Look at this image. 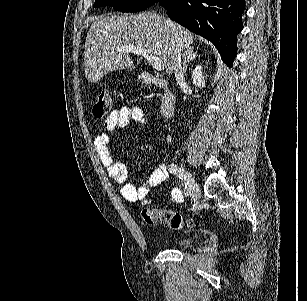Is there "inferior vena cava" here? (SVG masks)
I'll return each mask as SVG.
<instances>
[{"label": "inferior vena cava", "instance_id": "obj_1", "mask_svg": "<svg viewBox=\"0 0 307 301\" xmlns=\"http://www.w3.org/2000/svg\"><path fill=\"white\" fill-rule=\"evenodd\" d=\"M173 64H174L176 84H178L179 88H182L185 80H184L183 70H182V66H181V48H180V46H176V48H175V54L173 56Z\"/></svg>", "mask_w": 307, "mask_h": 301}]
</instances>
